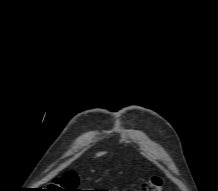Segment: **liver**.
I'll return each instance as SVG.
<instances>
[{
  "label": "liver",
  "mask_w": 218,
  "mask_h": 191,
  "mask_svg": "<svg viewBox=\"0 0 218 191\" xmlns=\"http://www.w3.org/2000/svg\"><path fill=\"white\" fill-rule=\"evenodd\" d=\"M103 154H104L103 152H100V153L97 154V156H101V155H103Z\"/></svg>",
  "instance_id": "1"
}]
</instances>
